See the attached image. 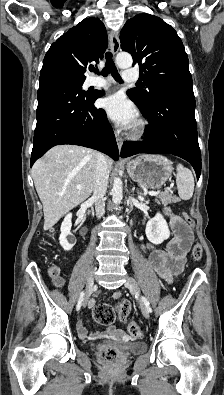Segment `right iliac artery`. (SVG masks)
Here are the masks:
<instances>
[{"label": "right iliac artery", "instance_id": "right-iliac-artery-1", "mask_svg": "<svg viewBox=\"0 0 224 395\" xmlns=\"http://www.w3.org/2000/svg\"><path fill=\"white\" fill-rule=\"evenodd\" d=\"M84 296H85V292H82V293L80 294L78 303H77V305H76V310H77V311H79L80 308H81L82 302H83V300H84Z\"/></svg>", "mask_w": 224, "mask_h": 395}]
</instances>
